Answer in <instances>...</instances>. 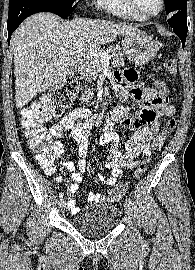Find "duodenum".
I'll return each instance as SVG.
<instances>
[{"mask_svg": "<svg viewBox=\"0 0 195 270\" xmlns=\"http://www.w3.org/2000/svg\"><path fill=\"white\" fill-rule=\"evenodd\" d=\"M82 72H83V66L82 65H79V67L77 68V73L78 74H82ZM83 97L84 98H88L89 97V94L86 92V93H84Z\"/></svg>", "mask_w": 195, "mask_h": 270, "instance_id": "obj_1", "label": "duodenum"}]
</instances>
